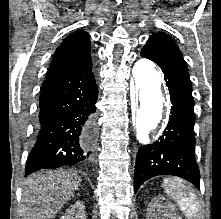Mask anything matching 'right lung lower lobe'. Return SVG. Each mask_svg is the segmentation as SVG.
<instances>
[{"instance_id":"98d812e1","label":"right lung lower lobe","mask_w":221,"mask_h":219,"mask_svg":"<svg viewBox=\"0 0 221 219\" xmlns=\"http://www.w3.org/2000/svg\"><path fill=\"white\" fill-rule=\"evenodd\" d=\"M97 99L91 59L43 82L26 176L40 169L71 166L94 158L91 134Z\"/></svg>"}]
</instances>
